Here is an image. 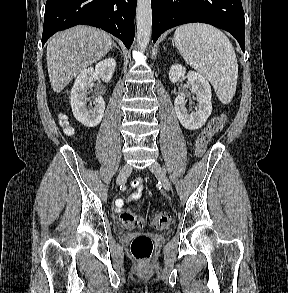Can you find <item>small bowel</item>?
I'll use <instances>...</instances> for the list:
<instances>
[{"label":"small bowel","mask_w":288,"mask_h":293,"mask_svg":"<svg viewBox=\"0 0 288 293\" xmlns=\"http://www.w3.org/2000/svg\"><path fill=\"white\" fill-rule=\"evenodd\" d=\"M140 197L139 193H135L132 195V200H137ZM124 201L122 199H119L117 201V207L120 209L123 206Z\"/></svg>","instance_id":"1"}]
</instances>
